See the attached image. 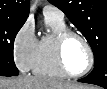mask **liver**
Segmentation results:
<instances>
[{
    "label": "liver",
    "mask_w": 107,
    "mask_h": 89,
    "mask_svg": "<svg viewBox=\"0 0 107 89\" xmlns=\"http://www.w3.org/2000/svg\"><path fill=\"white\" fill-rule=\"evenodd\" d=\"M70 88H89L62 82L45 76H18L12 79H0V89H70ZM90 89V88H89Z\"/></svg>",
    "instance_id": "6515ba94"
}]
</instances>
